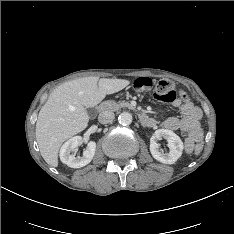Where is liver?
<instances>
[{"instance_id":"obj_1","label":"liver","mask_w":234,"mask_h":234,"mask_svg":"<svg viewBox=\"0 0 234 234\" xmlns=\"http://www.w3.org/2000/svg\"><path fill=\"white\" fill-rule=\"evenodd\" d=\"M129 83L125 79L90 76L56 88L41 108L36 122L35 135L43 159L57 167L62 143L88 126L86 108L98 105L107 94L116 93Z\"/></svg>"}]
</instances>
